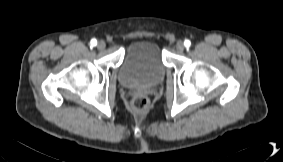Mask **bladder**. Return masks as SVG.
Returning a JSON list of instances; mask_svg holds the SVG:
<instances>
[{
  "label": "bladder",
  "mask_w": 283,
  "mask_h": 162,
  "mask_svg": "<svg viewBox=\"0 0 283 162\" xmlns=\"http://www.w3.org/2000/svg\"><path fill=\"white\" fill-rule=\"evenodd\" d=\"M165 72L160 46L150 39H138L125 50L118 80L124 86H153L163 80Z\"/></svg>",
  "instance_id": "1"
}]
</instances>
